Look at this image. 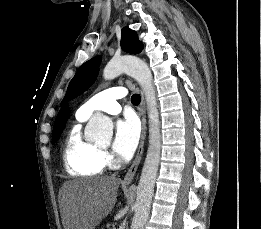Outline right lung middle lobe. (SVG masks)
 <instances>
[{
    "instance_id": "dd1d6c3e",
    "label": "right lung middle lobe",
    "mask_w": 261,
    "mask_h": 229,
    "mask_svg": "<svg viewBox=\"0 0 261 229\" xmlns=\"http://www.w3.org/2000/svg\"><path fill=\"white\" fill-rule=\"evenodd\" d=\"M64 125H54V129H53V136H52V144L56 143V141L59 139L63 129H64Z\"/></svg>"
}]
</instances>
